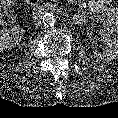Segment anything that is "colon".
Returning <instances> with one entry per match:
<instances>
[{"mask_svg": "<svg viewBox=\"0 0 118 118\" xmlns=\"http://www.w3.org/2000/svg\"><path fill=\"white\" fill-rule=\"evenodd\" d=\"M36 2L37 0H29ZM14 22V13L3 6H0V27L11 25Z\"/></svg>", "mask_w": 118, "mask_h": 118, "instance_id": "1", "label": "colon"}]
</instances>
